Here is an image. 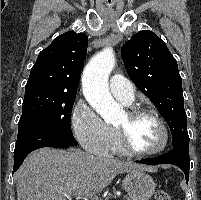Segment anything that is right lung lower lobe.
Here are the masks:
<instances>
[{"label":"right lung lower lobe","instance_id":"1","mask_svg":"<svg viewBox=\"0 0 201 200\" xmlns=\"http://www.w3.org/2000/svg\"><path fill=\"white\" fill-rule=\"evenodd\" d=\"M78 143L73 134H67L51 126L30 125L18 129L14 150L13 173L21 166L26 156L42 147L65 148Z\"/></svg>","mask_w":201,"mask_h":200}]
</instances>
